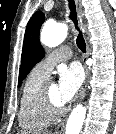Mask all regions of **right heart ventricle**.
Returning a JSON list of instances; mask_svg holds the SVG:
<instances>
[{
  "mask_svg": "<svg viewBox=\"0 0 116 134\" xmlns=\"http://www.w3.org/2000/svg\"><path fill=\"white\" fill-rule=\"evenodd\" d=\"M47 76L35 67L25 79L18 112V122L23 130L42 131L54 121L55 117L47 113L40 102V91Z\"/></svg>",
  "mask_w": 116,
  "mask_h": 134,
  "instance_id": "obj_1",
  "label": "right heart ventricle"
}]
</instances>
